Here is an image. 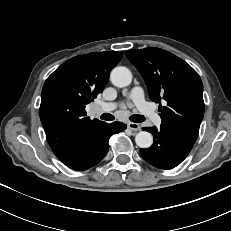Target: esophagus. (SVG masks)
Segmentation results:
<instances>
[{
	"instance_id": "esophagus-1",
	"label": "esophagus",
	"mask_w": 231,
	"mask_h": 231,
	"mask_svg": "<svg viewBox=\"0 0 231 231\" xmlns=\"http://www.w3.org/2000/svg\"><path fill=\"white\" fill-rule=\"evenodd\" d=\"M127 127H128V129H130L132 131H139L141 129L139 124L133 123V122L128 123Z\"/></svg>"
}]
</instances>
